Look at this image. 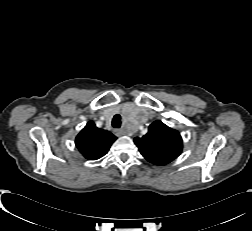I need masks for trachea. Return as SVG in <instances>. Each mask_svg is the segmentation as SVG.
<instances>
[{
  "instance_id": "1",
  "label": "trachea",
  "mask_w": 252,
  "mask_h": 231,
  "mask_svg": "<svg viewBox=\"0 0 252 231\" xmlns=\"http://www.w3.org/2000/svg\"><path fill=\"white\" fill-rule=\"evenodd\" d=\"M112 126L114 128H120L121 126V116L119 114H116L112 119Z\"/></svg>"
}]
</instances>
